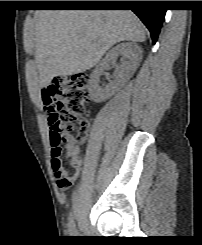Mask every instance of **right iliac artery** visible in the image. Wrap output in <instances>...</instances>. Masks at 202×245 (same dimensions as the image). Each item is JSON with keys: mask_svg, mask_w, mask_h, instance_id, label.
<instances>
[{"mask_svg": "<svg viewBox=\"0 0 202 245\" xmlns=\"http://www.w3.org/2000/svg\"><path fill=\"white\" fill-rule=\"evenodd\" d=\"M68 230H69L71 235H73V236H77L78 235V232L76 230V225H75V222H74V214L73 213H71L70 218H69Z\"/></svg>", "mask_w": 202, "mask_h": 245, "instance_id": "right-iliac-artery-1", "label": "right iliac artery"}]
</instances>
